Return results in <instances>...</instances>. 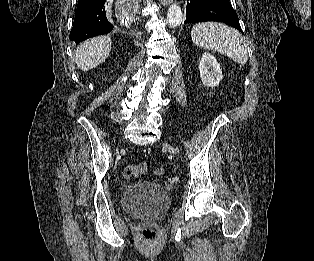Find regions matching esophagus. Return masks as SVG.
<instances>
[{"mask_svg":"<svg viewBox=\"0 0 314 261\" xmlns=\"http://www.w3.org/2000/svg\"><path fill=\"white\" fill-rule=\"evenodd\" d=\"M163 4H169L172 0H161Z\"/></svg>","mask_w":314,"mask_h":261,"instance_id":"1","label":"esophagus"}]
</instances>
